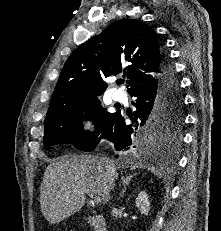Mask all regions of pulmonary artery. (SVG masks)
Masks as SVG:
<instances>
[{
    "instance_id": "e3ab8cb5",
    "label": "pulmonary artery",
    "mask_w": 221,
    "mask_h": 231,
    "mask_svg": "<svg viewBox=\"0 0 221 231\" xmlns=\"http://www.w3.org/2000/svg\"><path fill=\"white\" fill-rule=\"evenodd\" d=\"M113 99L118 102L126 103L127 97L126 94L122 90H115L113 92Z\"/></svg>"
}]
</instances>
